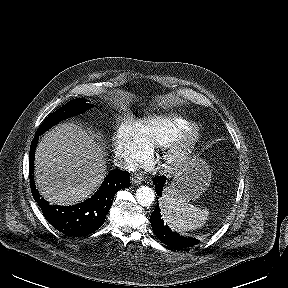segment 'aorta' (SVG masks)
Here are the masks:
<instances>
[{"label":"aorta","mask_w":288,"mask_h":288,"mask_svg":"<svg viewBox=\"0 0 288 288\" xmlns=\"http://www.w3.org/2000/svg\"><path fill=\"white\" fill-rule=\"evenodd\" d=\"M136 200L141 206H150L155 200V193L148 186H141L136 190Z\"/></svg>","instance_id":"1"}]
</instances>
